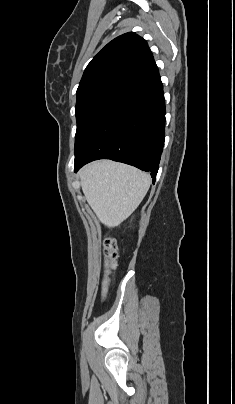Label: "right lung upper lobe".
Returning a JSON list of instances; mask_svg holds the SVG:
<instances>
[{"label":"right lung upper lobe","mask_w":235,"mask_h":404,"mask_svg":"<svg viewBox=\"0 0 235 404\" xmlns=\"http://www.w3.org/2000/svg\"><path fill=\"white\" fill-rule=\"evenodd\" d=\"M157 69L146 41L133 32L109 42L88 64L77 92L100 83L132 81Z\"/></svg>","instance_id":"obj_1"}]
</instances>
